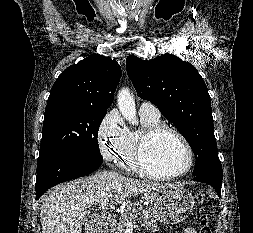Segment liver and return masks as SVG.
Wrapping results in <instances>:
<instances>
[{
	"label": "liver",
	"mask_w": 253,
	"mask_h": 233,
	"mask_svg": "<svg viewBox=\"0 0 253 233\" xmlns=\"http://www.w3.org/2000/svg\"><path fill=\"white\" fill-rule=\"evenodd\" d=\"M166 184L127 178L116 172H98L61 184L44 197L40 209L42 233H81L85 215L106 198L123 202Z\"/></svg>",
	"instance_id": "6515ba94"
}]
</instances>
